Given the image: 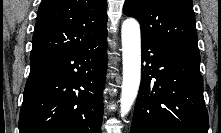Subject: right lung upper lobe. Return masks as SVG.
<instances>
[{"instance_id":"1","label":"right lung upper lobe","mask_w":221,"mask_h":133,"mask_svg":"<svg viewBox=\"0 0 221 133\" xmlns=\"http://www.w3.org/2000/svg\"><path fill=\"white\" fill-rule=\"evenodd\" d=\"M106 0H42L30 59L77 50L107 32Z\"/></svg>"}]
</instances>
